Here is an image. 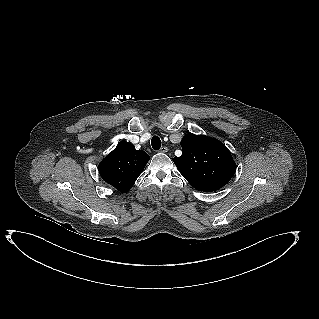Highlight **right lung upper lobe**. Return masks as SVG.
Returning a JSON list of instances; mask_svg holds the SVG:
<instances>
[{
	"label": "right lung upper lobe",
	"mask_w": 319,
	"mask_h": 319,
	"mask_svg": "<svg viewBox=\"0 0 319 319\" xmlns=\"http://www.w3.org/2000/svg\"><path fill=\"white\" fill-rule=\"evenodd\" d=\"M149 156L122 141L99 165L101 177L120 192H127L142 173Z\"/></svg>",
	"instance_id": "obj_1"
}]
</instances>
